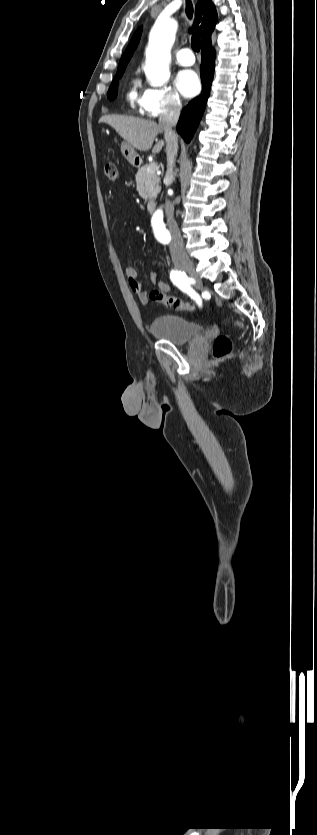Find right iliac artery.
I'll use <instances>...</instances> for the list:
<instances>
[{
	"label": "right iliac artery",
	"instance_id": "1",
	"mask_svg": "<svg viewBox=\"0 0 317 835\" xmlns=\"http://www.w3.org/2000/svg\"><path fill=\"white\" fill-rule=\"evenodd\" d=\"M170 279L174 285H176L181 291L188 294L192 299L196 301V303L201 306V298L199 295L191 288L190 281L186 276L184 271L180 270H171L170 272Z\"/></svg>",
	"mask_w": 317,
	"mask_h": 835
}]
</instances>
